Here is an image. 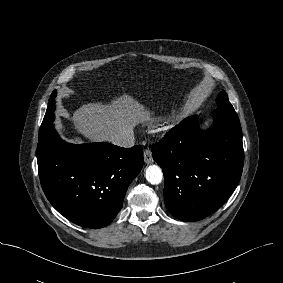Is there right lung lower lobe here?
Returning a JSON list of instances; mask_svg holds the SVG:
<instances>
[{
    "label": "right lung lower lobe",
    "instance_id": "1",
    "mask_svg": "<svg viewBox=\"0 0 283 283\" xmlns=\"http://www.w3.org/2000/svg\"><path fill=\"white\" fill-rule=\"evenodd\" d=\"M43 191L52 206L71 222L102 228L122 208L129 184L143 166L141 145H81L63 141L54 126L37 146Z\"/></svg>",
    "mask_w": 283,
    "mask_h": 283
}]
</instances>
